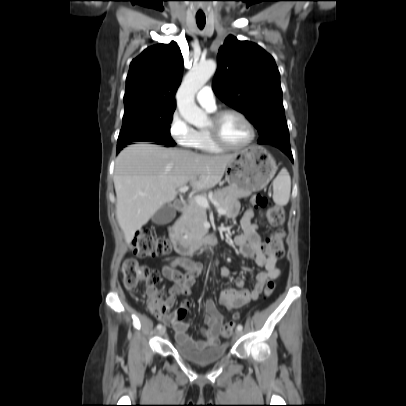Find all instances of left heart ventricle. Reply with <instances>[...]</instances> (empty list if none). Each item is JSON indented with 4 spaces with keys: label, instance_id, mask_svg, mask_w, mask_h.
<instances>
[{
    "label": "left heart ventricle",
    "instance_id": "left-heart-ventricle-1",
    "mask_svg": "<svg viewBox=\"0 0 406 406\" xmlns=\"http://www.w3.org/2000/svg\"><path fill=\"white\" fill-rule=\"evenodd\" d=\"M211 126V119L208 126ZM219 131L222 139L230 145H241L249 138L247 125L236 115L226 114L220 120Z\"/></svg>",
    "mask_w": 406,
    "mask_h": 406
}]
</instances>
